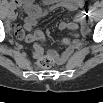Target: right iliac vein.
<instances>
[{
	"label": "right iliac vein",
	"instance_id": "obj_1",
	"mask_svg": "<svg viewBox=\"0 0 103 103\" xmlns=\"http://www.w3.org/2000/svg\"><path fill=\"white\" fill-rule=\"evenodd\" d=\"M8 17H9L10 19H14V17H15L14 12H13V11H10V12L8 13Z\"/></svg>",
	"mask_w": 103,
	"mask_h": 103
}]
</instances>
